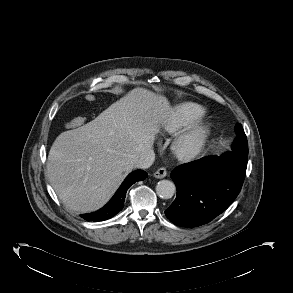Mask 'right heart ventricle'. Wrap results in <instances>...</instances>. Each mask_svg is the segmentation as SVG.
<instances>
[{"instance_id":"1","label":"right heart ventricle","mask_w":293,"mask_h":293,"mask_svg":"<svg viewBox=\"0 0 293 293\" xmlns=\"http://www.w3.org/2000/svg\"><path fill=\"white\" fill-rule=\"evenodd\" d=\"M205 112V108L197 103L178 104L165 119L163 129L168 134H175L198 121Z\"/></svg>"}]
</instances>
